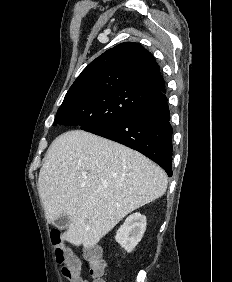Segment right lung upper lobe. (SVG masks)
<instances>
[{"mask_svg":"<svg viewBox=\"0 0 232 282\" xmlns=\"http://www.w3.org/2000/svg\"><path fill=\"white\" fill-rule=\"evenodd\" d=\"M110 89L140 91L153 103L165 96L159 65L149 51L134 42L121 43L93 60L74 81L64 100Z\"/></svg>","mask_w":232,"mask_h":282,"instance_id":"cb5924a9","label":"right lung upper lobe"}]
</instances>
